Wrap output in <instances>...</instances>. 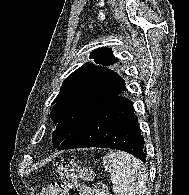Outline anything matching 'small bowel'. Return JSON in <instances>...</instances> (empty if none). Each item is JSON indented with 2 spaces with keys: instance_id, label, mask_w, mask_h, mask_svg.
Here are the masks:
<instances>
[{
  "instance_id": "1",
  "label": "small bowel",
  "mask_w": 189,
  "mask_h": 195,
  "mask_svg": "<svg viewBox=\"0 0 189 195\" xmlns=\"http://www.w3.org/2000/svg\"><path fill=\"white\" fill-rule=\"evenodd\" d=\"M81 195H94V191L89 186L81 185Z\"/></svg>"
}]
</instances>
